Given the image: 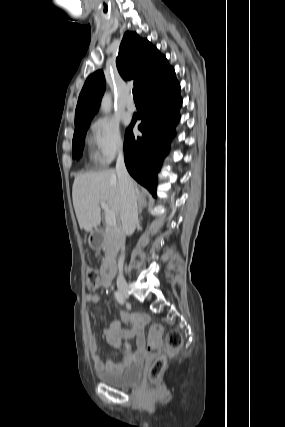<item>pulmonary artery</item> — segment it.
I'll return each instance as SVG.
<instances>
[{"instance_id":"1","label":"pulmonary artery","mask_w":285,"mask_h":427,"mask_svg":"<svg viewBox=\"0 0 285 427\" xmlns=\"http://www.w3.org/2000/svg\"><path fill=\"white\" fill-rule=\"evenodd\" d=\"M126 107L130 112H134L136 110V104L132 96L128 97Z\"/></svg>"}]
</instances>
